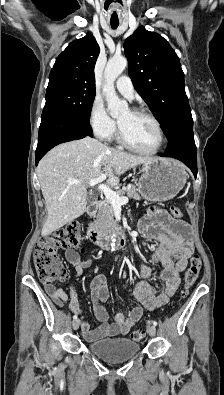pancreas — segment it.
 I'll use <instances>...</instances> for the list:
<instances>
[{"mask_svg":"<svg viewBox=\"0 0 224 395\" xmlns=\"http://www.w3.org/2000/svg\"><path fill=\"white\" fill-rule=\"evenodd\" d=\"M115 192L120 197L127 196L128 198H132L134 200L141 199V195L137 192V189L134 185H131L129 188L119 189ZM95 213V220L91 225V228L99 230L102 229L103 226L110 227L115 225L114 208L107 199L98 203Z\"/></svg>","mask_w":224,"mask_h":395,"instance_id":"1","label":"pancreas"}]
</instances>
